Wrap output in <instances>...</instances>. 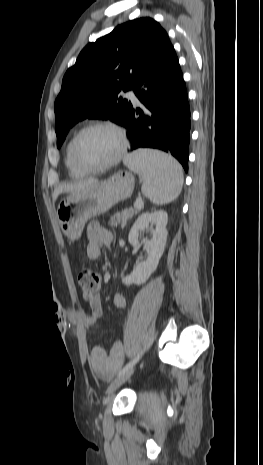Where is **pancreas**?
<instances>
[{
  "instance_id": "pancreas-1",
  "label": "pancreas",
  "mask_w": 263,
  "mask_h": 465,
  "mask_svg": "<svg viewBox=\"0 0 263 465\" xmlns=\"http://www.w3.org/2000/svg\"><path fill=\"white\" fill-rule=\"evenodd\" d=\"M139 212L138 209H126L123 212L116 213L114 216L111 217L109 221V225L111 227H125L127 222L134 216V214H137Z\"/></svg>"
}]
</instances>
